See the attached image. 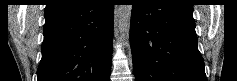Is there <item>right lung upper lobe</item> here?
Segmentation results:
<instances>
[{
  "label": "right lung upper lobe",
  "mask_w": 237,
  "mask_h": 81,
  "mask_svg": "<svg viewBox=\"0 0 237 81\" xmlns=\"http://www.w3.org/2000/svg\"><path fill=\"white\" fill-rule=\"evenodd\" d=\"M74 1L76 0H49V4L46 5L45 12L66 6Z\"/></svg>",
  "instance_id": "right-lung-upper-lobe-1"
}]
</instances>
